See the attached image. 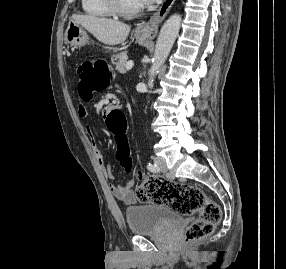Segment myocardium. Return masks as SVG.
<instances>
[{"label": "myocardium", "instance_id": "f54148a6", "mask_svg": "<svg viewBox=\"0 0 286 269\" xmlns=\"http://www.w3.org/2000/svg\"><path fill=\"white\" fill-rule=\"evenodd\" d=\"M104 6L107 8V10L115 16L128 18L138 15L142 10L143 7H137L135 9H125L122 7L120 0H102Z\"/></svg>", "mask_w": 286, "mask_h": 269}]
</instances>
